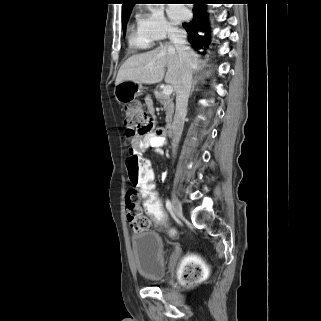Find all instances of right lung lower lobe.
<instances>
[{
    "label": "right lung lower lobe",
    "mask_w": 321,
    "mask_h": 321,
    "mask_svg": "<svg viewBox=\"0 0 321 321\" xmlns=\"http://www.w3.org/2000/svg\"><path fill=\"white\" fill-rule=\"evenodd\" d=\"M194 4L193 19L190 22L183 23V28L188 33V40L194 49L207 48L209 44V27L207 15L203 4L211 0H192ZM199 31L205 32L204 36L198 34Z\"/></svg>",
    "instance_id": "98d812e1"
}]
</instances>
